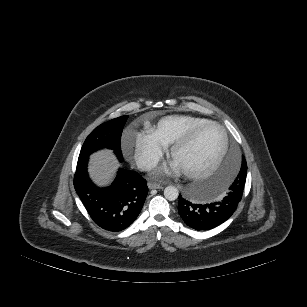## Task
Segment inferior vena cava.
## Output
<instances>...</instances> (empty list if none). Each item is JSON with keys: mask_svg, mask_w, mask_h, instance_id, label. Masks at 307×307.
Instances as JSON below:
<instances>
[{"mask_svg": "<svg viewBox=\"0 0 307 307\" xmlns=\"http://www.w3.org/2000/svg\"><path fill=\"white\" fill-rule=\"evenodd\" d=\"M158 161H159L158 158L155 156L145 157L137 161V166L141 170H151L157 165Z\"/></svg>", "mask_w": 307, "mask_h": 307, "instance_id": "inferior-vena-cava-1", "label": "inferior vena cava"}]
</instances>
